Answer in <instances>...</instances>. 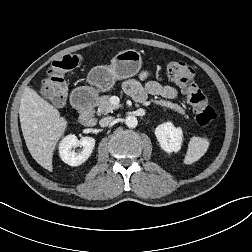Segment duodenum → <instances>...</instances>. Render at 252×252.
I'll return each instance as SVG.
<instances>
[{"label": "duodenum", "instance_id": "duodenum-1", "mask_svg": "<svg viewBox=\"0 0 252 252\" xmlns=\"http://www.w3.org/2000/svg\"><path fill=\"white\" fill-rule=\"evenodd\" d=\"M72 105L79 110L78 121L84 126H94L96 120L91 115L94 95L89 89L76 90L71 96Z\"/></svg>", "mask_w": 252, "mask_h": 252}]
</instances>
